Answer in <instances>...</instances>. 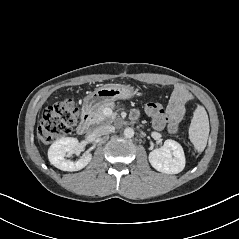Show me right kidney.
<instances>
[{
	"instance_id": "right-kidney-1",
	"label": "right kidney",
	"mask_w": 239,
	"mask_h": 239,
	"mask_svg": "<svg viewBox=\"0 0 239 239\" xmlns=\"http://www.w3.org/2000/svg\"><path fill=\"white\" fill-rule=\"evenodd\" d=\"M78 146L76 138H61L55 141L48 150V159L52 165L63 171H78L83 169L91 161L90 153L84 154L77 161L66 160L65 154L72 152Z\"/></svg>"
}]
</instances>
